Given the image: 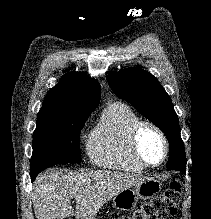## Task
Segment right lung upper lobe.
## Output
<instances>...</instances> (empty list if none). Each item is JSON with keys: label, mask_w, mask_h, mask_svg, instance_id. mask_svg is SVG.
<instances>
[{"label": "right lung upper lobe", "mask_w": 211, "mask_h": 219, "mask_svg": "<svg viewBox=\"0 0 211 219\" xmlns=\"http://www.w3.org/2000/svg\"><path fill=\"white\" fill-rule=\"evenodd\" d=\"M100 95V85L95 79L70 72L48 91L41 110L52 115L89 114L97 107Z\"/></svg>", "instance_id": "cb5924a9"}]
</instances>
